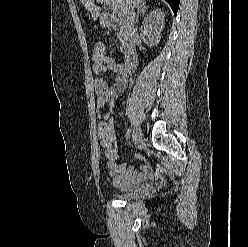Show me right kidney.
I'll return each instance as SVG.
<instances>
[{
  "label": "right kidney",
  "mask_w": 248,
  "mask_h": 247,
  "mask_svg": "<svg viewBox=\"0 0 248 247\" xmlns=\"http://www.w3.org/2000/svg\"><path fill=\"white\" fill-rule=\"evenodd\" d=\"M164 17L165 13L156 9L151 11L144 19L140 35L146 44L155 46L159 43L164 26Z\"/></svg>",
  "instance_id": "1"
}]
</instances>
